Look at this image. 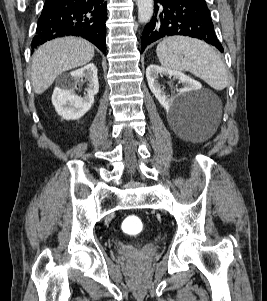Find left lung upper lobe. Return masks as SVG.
<instances>
[{"mask_svg": "<svg viewBox=\"0 0 267 301\" xmlns=\"http://www.w3.org/2000/svg\"><path fill=\"white\" fill-rule=\"evenodd\" d=\"M200 1H202V2H204V3H205V0H200Z\"/></svg>", "mask_w": 267, "mask_h": 301, "instance_id": "1", "label": "left lung upper lobe"}]
</instances>
